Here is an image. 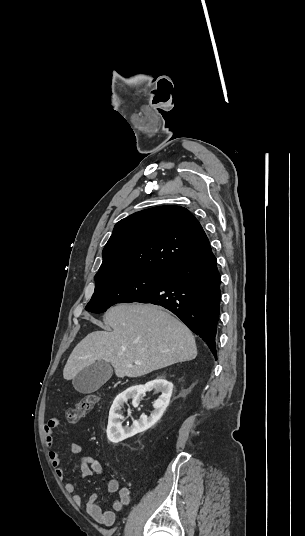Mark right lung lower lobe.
<instances>
[{
    "label": "right lung lower lobe",
    "instance_id": "1",
    "mask_svg": "<svg viewBox=\"0 0 305 536\" xmlns=\"http://www.w3.org/2000/svg\"><path fill=\"white\" fill-rule=\"evenodd\" d=\"M220 274L213 252L175 268L146 296L135 302L161 305L199 335L216 357L220 307Z\"/></svg>",
    "mask_w": 305,
    "mask_h": 536
}]
</instances>
